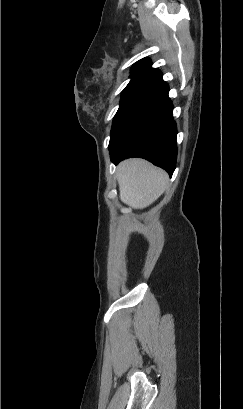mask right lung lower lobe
<instances>
[{
    "label": "right lung lower lobe",
    "mask_w": 243,
    "mask_h": 409,
    "mask_svg": "<svg viewBox=\"0 0 243 409\" xmlns=\"http://www.w3.org/2000/svg\"><path fill=\"white\" fill-rule=\"evenodd\" d=\"M166 82L152 92L131 114L109 144L111 160L117 164L141 157L165 169L171 176L176 167V123Z\"/></svg>",
    "instance_id": "obj_1"
}]
</instances>
